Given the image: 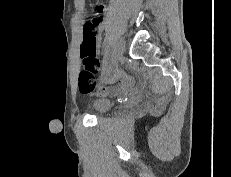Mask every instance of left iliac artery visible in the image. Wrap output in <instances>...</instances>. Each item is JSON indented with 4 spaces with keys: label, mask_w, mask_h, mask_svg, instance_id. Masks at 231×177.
Segmentation results:
<instances>
[{
    "label": "left iliac artery",
    "mask_w": 231,
    "mask_h": 177,
    "mask_svg": "<svg viewBox=\"0 0 231 177\" xmlns=\"http://www.w3.org/2000/svg\"><path fill=\"white\" fill-rule=\"evenodd\" d=\"M106 47L104 48V60L106 63H109L110 60H111V56H112V45H113V42L112 41H107L106 42Z\"/></svg>",
    "instance_id": "44dca946"
}]
</instances>
